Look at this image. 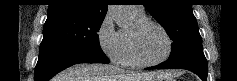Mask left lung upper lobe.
I'll return each instance as SVG.
<instances>
[{"label": "left lung upper lobe", "mask_w": 237, "mask_h": 81, "mask_svg": "<svg viewBox=\"0 0 237 81\" xmlns=\"http://www.w3.org/2000/svg\"><path fill=\"white\" fill-rule=\"evenodd\" d=\"M144 6L173 41L170 57L163 63L174 65L206 59L189 0H145Z\"/></svg>", "instance_id": "left-lung-upper-lobe-1"}]
</instances>
